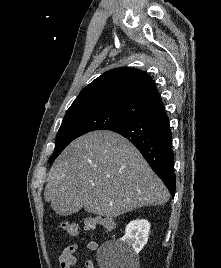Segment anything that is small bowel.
Returning a JSON list of instances; mask_svg holds the SVG:
<instances>
[{"instance_id":"c3829d8e","label":"small bowel","mask_w":221,"mask_h":268,"mask_svg":"<svg viewBox=\"0 0 221 268\" xmlns=\"http://www.w3.org/2000/svg\"><path fill=\"white\" fill-rule=\"evenodd\" d=\"M86 248L90 252H95L98 248V243L96 241H89L86 244ZM80 250L78 244L73 243L64 248L58 258L60 268H72L77 263L76 254ZM84 268H95L94 263L90 259H86L83 262Z\"/></svg>"}]
</instances>
